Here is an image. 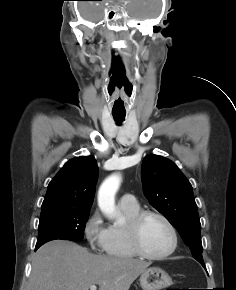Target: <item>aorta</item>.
<instances>
[{
    "instance_id": "762f6f07",
    "label": "aorta",
    "mask_w": 236,
    "mask_h": 290,
    "mask_svg": "<svg viewBox=\"0 0 236 290\" xmlns=\"http://www.w3.org/2000/svg\"><path fill=\"white\" fill-rule=\"evenodd\" d=\"M120 186V177L118 175H112L108 177L100 186L98 191V205L102 213L113 219L116 217L115 210V195ZM122 219L119 218L115 224H121Z\"/></svg>"
}]
</instances>
